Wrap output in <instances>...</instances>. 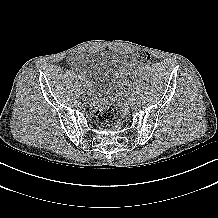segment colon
<instances>
[{
    "label": "colon",
    "mask_w": 218,
    "mask_h": 218,
    "mask_svg": "<svg viewBox=\"0 0 218 218\" xmlns=\"http://www.w3.org/2000/svg\"><path fill=\"white\" fill-rule=\"evenodd\" d=\"M135 59L142 64L151 61V55L146 51H139L135 54ZM96 118L101 123H109L114 118V109L109 102L99 104L95 112Z\"/></svg>",
    "instance_id": "obj_1"
}]
</instances>
